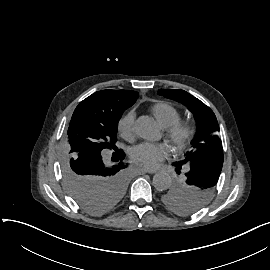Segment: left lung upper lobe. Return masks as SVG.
<instances>
[{
  "label": "left lung upper lobe",
  "mask_w": 270,
  "mask_h": 270,
  "mask_svg": "<svg viewBox=\"0 0 270 270\" xmlns=\"http://www.w3.org/2000/svg\"><path fill=\"white\" fill-rule=\"evenodd\" d=\"M158 94L184 104L196 119L192 150L182 161L173 163L177 174L183 166L186 173L161 193V201L169 210L190 216L208 203L222 170L223 149L217 133L219 125L213 111L188 92L159 89Z\"/></svg>",
  "instance_id": "obj_1"
}]
</instances>
